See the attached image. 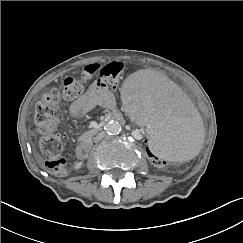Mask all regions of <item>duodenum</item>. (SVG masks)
<instances>
[{
	"label": "duodenum",
	"mask_w": 243,
	"mask_h": 243,
	"mask_svg": "<svg viewBox=\"0 0 243 243\" xmlns=\"http://www.w3.org/2000/svg\"><path fill=\"white\" fill-rule=\"evenodd\" d=\"M112 119L118 122L123 121V117L119 114L113 115ZM87 152H88V145L86 143H80L76 147V154L80 158H84L87 155Z\"/></svg>",
	"instance_id": "duodenum-1"
}]
</instances>
